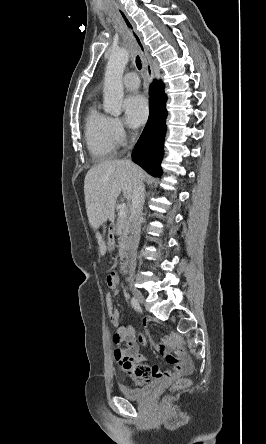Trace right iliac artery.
<instances>
[{
	"instance_id": "obj_1",
	"label": "right iliac artery",
	"mask_w": 266,
	"mask_h": 444,
	"mask_svg": "<svg viewBox=\"0 0 266 444\" xmlns=\"http://www.w3.org/2000/svg\"><path fill=\"white\" fill-rule=\"evenodd\" d=\"M131 305L135 310H139V308H140L139 303L137 302V300L134 297L131 299Z\"/></svg>"
}]
</instances>
